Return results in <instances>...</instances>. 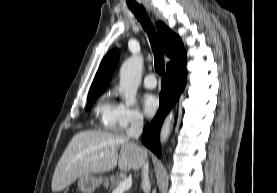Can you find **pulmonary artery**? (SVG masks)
<instances>
[{"mask_svg":"<svg viewBox=\"0 0 277 193\" xmlns=\"http://www.w3.org/2000/svg\"><path fill=\"white\" fill-rule=\"evenodd\" d=\"M143 84L148 89L155 88L157 84L155 76L153 74H148L147 76H145Z\"/></svg>","mask_w":277,"mask_h":193,"instance_id":"e3ab8cb5","label":"pulmonary artery"}]
</instances>
